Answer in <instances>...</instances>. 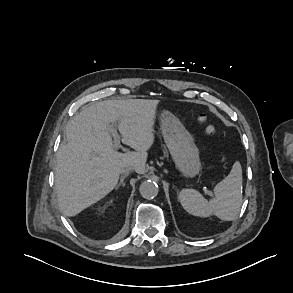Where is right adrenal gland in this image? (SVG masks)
I'll return each instance as SVG.
<instances>
[{"label":"right adrenal gland","mask_w":293,"mask_h":293,"mask_svg":"<svg viewBox=\"0 0 293 293\" xmlns=\"http://www.w3.org/2000/svg\"><path fill=\"white\" fill-rule=\"evenodd\" d=\"M128 175L127 174H125V175H122L121 177H120V182H119V184L116 186V190L120 187V186H125V183H124V179L127 177Z\"/></svg>","instance_id":"obj_1"}]
</instances>
